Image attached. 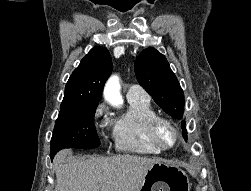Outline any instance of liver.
Here are the masks:
<instances>
[{
  "instance_id": "6515ba94",
  "label": "liver",
  "mask_w": 251,
  "mask_h": 191,
  "mask_svg": "<svg viewBox=\"0 0 251 191\" xmlns=\"http://www.w3.org/2000/svg\"><path fill=\"white\" fill-rule=\"evenodd\" d=\"M158 157L113 155L76 157L71 149H61L54 157L55 191H139L148 169Z\"/></svg>"
}]
</instances>
